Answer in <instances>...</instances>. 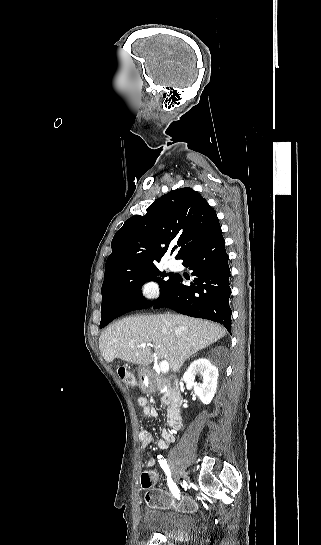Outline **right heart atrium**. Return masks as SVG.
Masks as SVG:
<instances>
[{
    "instance_id": "right-heart-atrium-1",
    "label": "right heart atrium",
    "mask_w": 321,
    "mask_h": 545,
    "mask_svg": "<svg viewBox=\"0 0 321 545\" xmlns=\"http://www.w3.org/2000/svg\"><path fill=\"white\" fill-rule=\"evenodd\" d=\"M134 294L140 303L144 305H153L161 298V288L155 279L144 277L136 283Z\"/></svg>"
}]
</instances>
